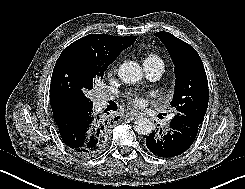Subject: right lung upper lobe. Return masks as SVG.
<instances>
[{
    "label": "right lung upper lobe",
    "instance_id": "right-lung-upper-lobe-1",
    "mask_svg": "<svg viewBox=\"0 0 245 189\" xmlns=\"http://www.w3.org/2000/svg\"><path fill=\"white\" fill-rule=\"evenodd\" d=\"M136 38V36L89 34L64 49L55 64L50 85V103L55 121L80 110L69 103L60 87L61 76L65 69L81 61H96L109 66L121 51L135 42Z\"/></svg>",
    "mask_w": 245,
    "mask_h": 189
}]
</instances>
